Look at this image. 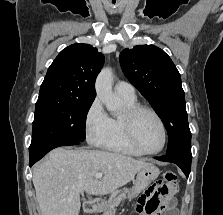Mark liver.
I'll return each instance as SVG.
<instances>
[{
	"label": "liver",
	"instance_id": "1",
	"mask_svg": "<svg viewBox=\"0 0 223 215\" xmlns=\"http://www.w3.org/2000/svg\"><path fill=\"white\" fill-rule=\"evenodd\" d=\"M148 165L122 153L99 149L56 147L43 163L33 167L32 181L42 215H78L80 193L105 195L133 179ZM104 173L101 181L94 177Z\"/></svg>",
	"mask_w": 223,
	"mask_h": 215
}]
</instances>
